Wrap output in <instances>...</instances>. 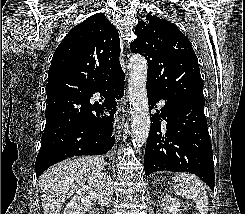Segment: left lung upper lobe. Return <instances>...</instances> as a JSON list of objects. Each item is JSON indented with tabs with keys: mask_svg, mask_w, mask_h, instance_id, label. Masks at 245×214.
I'll use <instances>...</instances> for the list:
<instances>
[{
	"mask_svg": "<svg viewBox=\"0 0 245 214\" xmlns=\"http://www.w3.org/2000/svg\"><path fill=\"white\" fill-rule=\"evenodd\" d=\"M135 34L130 48L147 60V88L171 99L204 100L197 57L175 24L148 14L138 22Z\"/></svg>",
	"mask_w": 245,
	"mask_h": 214,
	"instance_id": "5c2ea615",
	"label": "left lung upper lobe"
}]
</instances>
